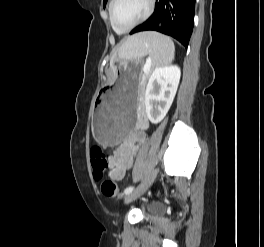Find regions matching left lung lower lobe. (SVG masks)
<instances>
[{
	"mask_svg": "<svg viewBox=\"0 0 264 247\" xmlns=\"http://www.w3.org/2000/svg\"><path fill=\"white\" fill-rule=\"evenodd\" d=\"M195 0H156L152 16L130 34L158 31L172 36L187 48L193 30Z\"/></svg>",
	"mask_w": 264,
	"mask_h": 247,
	"instance_id": "left-lung-lower-lobe-1",
	"label": "left lung lower lobe"
}]
</instances>
